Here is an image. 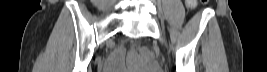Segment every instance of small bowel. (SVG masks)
<instances>
[{
	"mask_svg": "<svg viewBox=\"0 0 267 72\" xmlns=\"http://www.w3.org/2000/svg\"><path fill=\"white\" fill-rule=\"evenodd\" d=\"M187 5H188V7H190V8H194V7L196 6V1H194V0H189V1H187Z\"/></svg>",
	"mask_w": 267,
	"mask_h": 72,
	"instance_id": "small-bowel-1",
	"label": "small bowel"
}]
</instances>
